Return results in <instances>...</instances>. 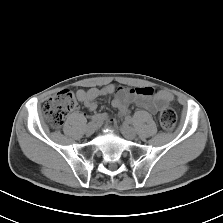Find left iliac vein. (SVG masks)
Instances as JSON below:
<instances>
[{
  "label": "left iliac vein",
  "mask_w": 223,
  "mask_h": 223,
  "mask_svg": "<svg viewBox=\"0 0 223 223\" xmlns=\"http://www.w3.org/2000/svg\"><path fill=\"white\" fill-rule=\"evenodd\" d=\"M121 133L125 136V138L129 140H133L137 137V133L134 128H132L127 122H124L120 126Z\"/></svg>",
  "instance_id": "1"
}]
</instances>
